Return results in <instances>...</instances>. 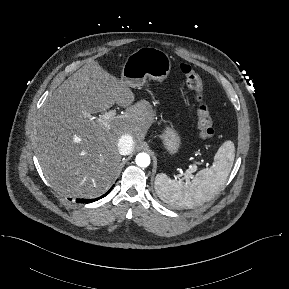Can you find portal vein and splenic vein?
<instances>
[{
	"label": "portal vein and splenic vein",
	"instance_id": "1",
	"mask_svg": "<svg viewBox=\"0 0 289 289\" xmlns=\"http://www.w3.org/2000/svg\"><path fill=\"white\" fill-rule=\"evenodd\" d=\"M115 116H116V110L113 109L104 113L103 115H99V117L97 118V121L99 124L107 126L110 120L113 119ZM189 174L190 172L186 173V178H189Z\"/></svg>",
	"mask_w": 289,
	"mask_h": 289
}]
</instances>
